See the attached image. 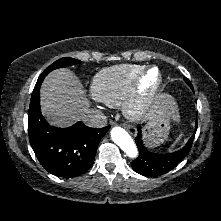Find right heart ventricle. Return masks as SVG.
Masks as SVG:
<instances>
[{"label": "right heart ventricle", "mask_w": 221, "mask_h": 221, "mask_svg": "<svg viewBox=\"0 0 221 221\" xmlns=\"http://www.w3.org/2000/svg\"><path fill=\"white\" fill-rule=\"evenodd\" d=\"M142 69L141 65L121 64L101 70L92 80V97L110 107L120 106L126 99L134 78Z\"/></svg>", "instance_id": "e07e8e85"}]
</instances>
